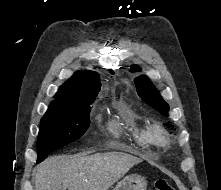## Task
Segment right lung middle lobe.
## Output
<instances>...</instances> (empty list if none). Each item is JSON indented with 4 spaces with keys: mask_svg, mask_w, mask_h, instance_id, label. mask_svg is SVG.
<instances>
[{
    "mask_svg": "<svg viewBox=\"0 0 221 190\" xmlns=\"http://www.w3.org/2000/svg\"><path fill=\"white\" fill-rule=\"evenodd\" d=\"M94 100L80 103L72 108L48 109L41 119L37 140L38 159L71 142L78 140L90 124V104Z\"/></svg>",
    "mask_w": 221,
    "mask_h": 190,
    "instance_id": "obj_1",
    "label": "right lung middle lobe"
}]
</instances>
